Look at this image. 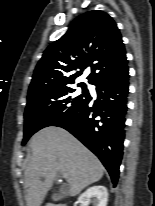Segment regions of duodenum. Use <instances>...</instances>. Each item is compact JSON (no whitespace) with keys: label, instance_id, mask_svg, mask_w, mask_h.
Here are the masks:
<instances>
[{"label":"duodenum","instance_id":"1","mask_svg":"<svg viewBox=\"0 0 155 206\" xmlns=\"http://www.w3.org/2000/svg\"><path fill=\"white\" fill-rule=\"evenodd\" d=\"M51 206H66V205L63 204V203H57V204H54V205H51Z\"/></svg>","mask_w":155,"mask_h":206}]
</instances>
